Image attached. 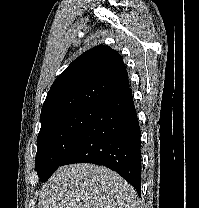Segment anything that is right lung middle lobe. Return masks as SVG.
<instances>
[{
    "instance_id": "obj_1",
    "label": "right lung middle lobe",
    "mask_w": 199,
    "mask_h": 208,
    "mask_svg": "<svg viewBox=\"0 0 199 208\" xmlns=\"http://www.w3.org/2000/svg\"><path fill=\"white\" fill-rule=\"evenodd\" d=\"M99 108V106L72 108L41 122L35 167L42 182L55 172L72 151Z\"/></svg>"
}]
</instances>
